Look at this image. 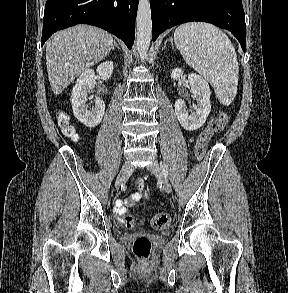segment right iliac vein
I'll return each instance as SVG.
<instances>
[{"label":"right iliac vein","mask_w":288,"mask_h":293,"mask_svg":"<svg viewBox=\"0 0 288 293\" xmlns=\"http://www.w3.org/2000/svg\"><path fill=\"white\" fill-rule=\"evenodd\" d=\"M132 170V165L130 163H124L115 182L116 189H119L120 186H122L128 180L129 176L132 173Z\"/></svg>","instance_id":"obj_1"}]
</instances>
